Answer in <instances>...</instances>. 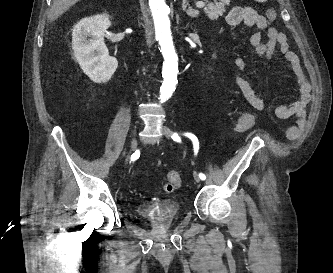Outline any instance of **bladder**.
<instances>
[{
	"mask_svg": "<svg viewBox=\"0 0 333 273\" xmlns=\"http://www.w3.org/2000/svg\"><path fill=\"white\" fill-rule=\"evenodd\" d=\"M136 211L153 226L159 228L169 227L181 217L179 204L170 199L141 203L137 205Z\"/></svg>",
	"mask_w": 333,
	"mask_h": 273,
	"instance_id": "1",
	"label": "bladder"
}]
</instances>
